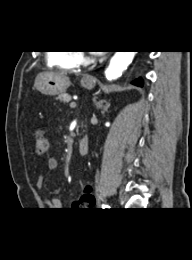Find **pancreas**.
<instances>
[{
	"label": "pancreas",
	"instance_id": "obj_1",
	"mask_svg": "<svg viewBox=\"0 0 192 260\" xmlns=\"http://www.w3.org/2000/svg\"><path fill=\"white\" fill-rule=\"evenodd\" d=\"M57 99L63 103H67L69 100H71V96L67 93H62L58 96Z\"/></svg>",
	"mask_w": 192,
	"mask_h": 260
}]
</instances>
